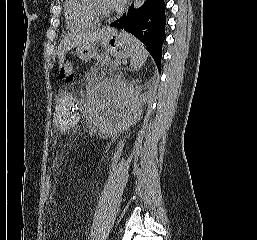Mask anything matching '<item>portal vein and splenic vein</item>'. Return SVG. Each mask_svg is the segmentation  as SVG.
<instances>
[{
  "mask_svg": "<svg viewBox=\"0 0 257 240\" xmlns=\"http://www.w3.org/2000/svg\"><path fill=\"white\" fill-rule=\"evenodd\" d=\"M119 63H120L119 61H116V62H115V65H118Z\"/></svg>",
  "mask_w": 257,
  "mask_h": 240,
  "instance_id": "portal-vein-and-splenic-vein-1",
  "label": "portal vein and splenic vein"
}]
</instances>
